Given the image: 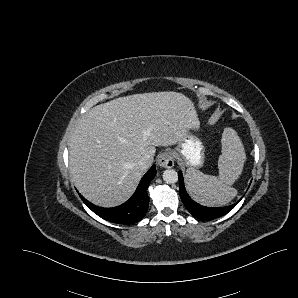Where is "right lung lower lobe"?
<instances>
[{
	"label": "right lung lower lobe",
	"instance_id": "1",
	"mask_svg": "<svg viewBox=\"0 0 298 298\" xmlns=\"http://www.w3.org/2000/svg\"><path fill=\"white\" fill-rule=\"evenodd\" d=\"M156 175V166L153 165L141 179L133 196L124 204L114 208H102L88 202L82 195V201L101 218L118 224H133L140 221L146 214L149 205L147 188Z\"/></svg>",
	"mask_w": 298,
	"mask_h": 298
}]
</instances>
